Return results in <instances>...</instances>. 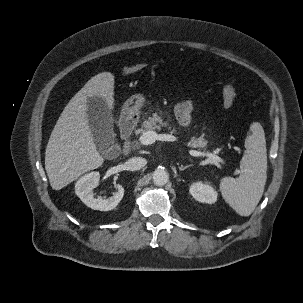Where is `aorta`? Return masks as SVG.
<instances>
[{
    "label": "aorta",
    "instance_id": "aorta-1",
    "mask_svg": "<svg viewBox=\"0 0 303 303\" xmlns=\"http://www.w3.org/2000/svg\"><path fill=\"white\" fill-rule=\"evenodd\" d=\"M169 181L168 172L158 168L153 172V182L156 186H163Z\"/></svg>",
    "mask_w": 303,
    "mask_h": 303
}]
</instances>
